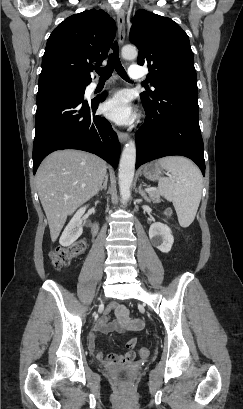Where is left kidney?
Segmentation results:
<instances>
[{
  "label": "left kidney",
  "mask_w": 243,
  "mask_h": 409,
  "mask_svg": "<svg viewBox=\"0 0 243 409\" xmlns=\"http://www.w3.org/2000/svg\"><path fill=\"white\" fill-rule=\"evenodd\" d=\"M150 240L157 249L163 253H168L173 245L174 237L171 229L163 223H153L149 228Z\"/></svg>",
  "instance_id": "obj_1"
}]
</instances>
